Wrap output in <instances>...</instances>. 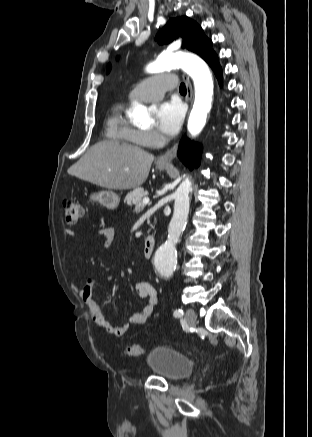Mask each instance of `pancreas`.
I'll use <instances>...</instances> for the list:
<instances>
[{"mask_svg": "<svg viewBox=\"0 0 312 437\" xmlns=\"http://www.w3.org/2000/svg\"><path fill=\"white\" fill-rule=\"evenodd\" d=\"M147 194V191L143 188H136L126 195L124 202L130 206L135 205V207L143 205V199L147 196Z\"/></svg>", "mask_w": 312, "mask_h": 437, "instance_id": "1", "label": "pancreas"}]
</instances>
